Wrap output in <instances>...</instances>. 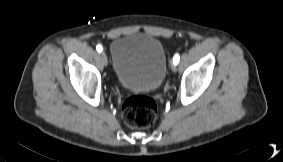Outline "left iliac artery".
<instances>
[{
  "label": "left iliac artery",
  "instance_id": "left-iliac-artery-1",
  "mask_svg": "<svg viewBox=\"0 0 283 162\" xmlns=\"http://www.w3.org/2000/svg\"><path fill=\"white\" fill-rule=\"evenodd\" d=\"M179 60H180L179 54H175L174 57H173V64L177 65Z\"/></svg>",
  "mask_w": 283,
  "mask_h": 162
}]
</instances>
